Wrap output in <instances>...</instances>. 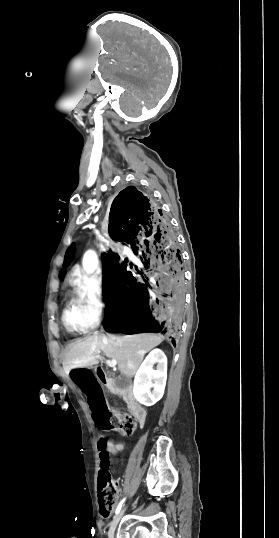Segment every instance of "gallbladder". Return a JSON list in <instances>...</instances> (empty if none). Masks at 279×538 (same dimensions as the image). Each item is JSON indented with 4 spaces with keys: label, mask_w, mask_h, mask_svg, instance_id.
<instances>
[{
    "label": "gallbladder",
    "mask_w": 279,
    "mask_h": 538,
    "mask_svg": "<svg viewBox=\"0 0 279 538\" xmlns=\"http://www.w3.org/2000/svg\"><path fill=\"white\" fill-rule=\"evenodd\" d=\"M115 383L117 387H128L130 380L128 376H117ZM117 406H120V403H117Z\"/></svg>",
    "instance_id": "bac80fb5"
}]
</instances>
